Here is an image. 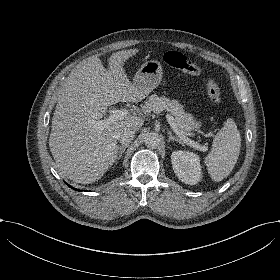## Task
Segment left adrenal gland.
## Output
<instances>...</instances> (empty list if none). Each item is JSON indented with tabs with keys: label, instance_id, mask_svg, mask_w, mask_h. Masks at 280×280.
I'll return each mask as SVG.
<instances>
[{
	"label": "left adrenal gland",
	"instance_id": "a2214340",
	"mask_svg": "<svg viewBox=\"0 0 280 280\" xmlns=\"http://www.w3.org/2000/svg\"><path fill=\"white\" fill-rule=\"evenodd\" d=\"M168 133V140H176L182 144H184L183 140L181 138H178L176 135H173L171 131H167Z\"/></svg>",
	"mask_w": 280,
	"mask_h": 280
}]
</instances>
